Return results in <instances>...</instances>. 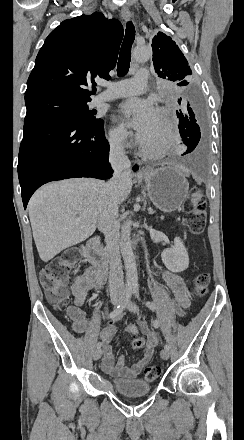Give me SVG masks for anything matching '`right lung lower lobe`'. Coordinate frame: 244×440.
<instances>
[{
	"label": "right lung lower lobe",
	"mask_w": 244,
	"mask_h": 440,
	"mask_svg": "<svg viewBox=\"0 0 244 440\" xmlns=\"http://www.w3.org/2000/svg\"><path fill=\"white\" fill-rule=\"evenodd\" d=\"M103 124L102 119L85 125L50 112H27L17 166L25 209L32 194L47 182L112 176Z\"/></svg>",
	"instance_id": "right-lung-lower-lobe-1"
}]
</instances>
